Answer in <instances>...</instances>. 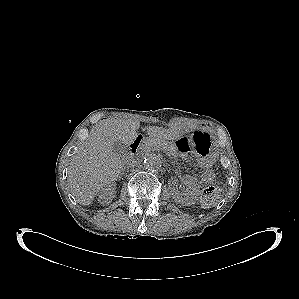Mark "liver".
<instances>
[{
	"label": "liver",
	"mask_w": 299,
	"mask_h": 299,
	"mask_svg": "<svg viewBox=\"0 0 299 299\" xmlns=\"http://www.w3.org/2000/svg\"><path fill=\"white\" fill-rule=\"evenodd\" d=\"M140 122L133 119H107L93 126L83 147L71 159L68 182L77 202L88 206L101 188L119 178L125 161L113 150L116 141L129 146L137 136ZM147 134L156 139L174 140L187 129L147 126Z\"/></svg>",
	"instance_id": "1"
}]
</instances>
